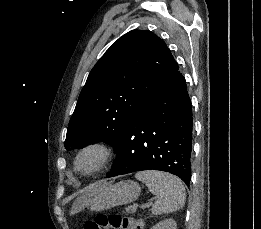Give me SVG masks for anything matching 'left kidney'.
<instances>
[{
  "label": "left kidney",
  "mask_w": 261,
  "mask_h": 229,
  "mask_svg": "<svg viewBox=\"0 0 261 229\" xmlns=\"http://www.w3.org/2000/svg\"><path fill=\"white\" fill-rule=\"evenodd\" d=\"M152 229H177V225L176 221H173V219H165V221L157 223Z\"/></svg>",
  "instance_id": "obj_1"
}]
</instances>
